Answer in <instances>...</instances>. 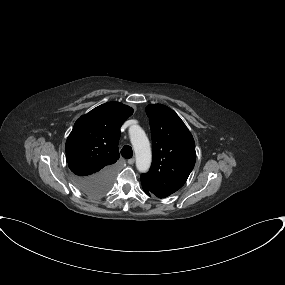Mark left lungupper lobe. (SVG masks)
<instances>
[{
  "mask_svg": "<svg viewBox=\"0 0 285 285\" xmlns=\"http://www.w3.org/2000/svg\"><path fill=\"white\" fill-rule=\"evenodd\" d=\"M153 145V163L141 175L142 185L159 198L179 190L196 161L195 142L181 118L169 107L149 104L146 107Z\"/></svg>",
  "mask_w": 285,
  "mask_h": 285,
  "instance_id": "left-lung-upper-lobe-1",
  "label": "left lung upper lobe"
}]
</instances>
